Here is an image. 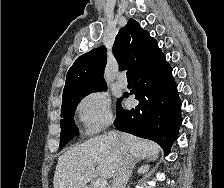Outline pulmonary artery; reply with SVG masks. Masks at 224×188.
Segmentation results:
<instances>
[{
    "label": "pulmonary artery",
    "instance_id": "pulmonary-artery-1",
    "mask_svg": "<svg viewBox=\"0 0 224 188\" xmlns=\"http://www.w3.org/2000/svg\"><path fill=\"white\" fill-rule=\"evenodd\" d=\"M117 85L120 87V88H126L127 85H128V82H127V78L125 76V74H120L117 78Z\"/></svg>",
    "mask_w": 224,
    "mask_h": 188
}]
</instances>
